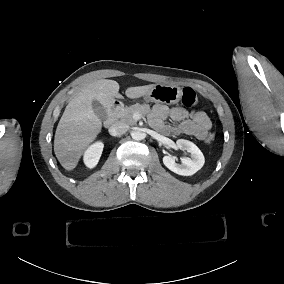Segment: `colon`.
<instances>
[{"mask_svg": "<svg viewBox=\"0 0 284 284\" xmlns=\"http://www.w3.org/2000/svg\"><path fill=\"white\" fill-rule=\"evenodd\" d=\"M181 97L185 106H195L197 104V97L192 94V90L190 88H183L181 90ZM205 140L207 143H212L215 140V135L211 133Z\"/></svg>", "mask_w": 284, "mask_h": 284, "instance_id": "colon-1", "label": "colon"}]
</instances>
